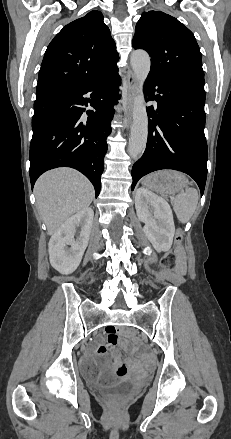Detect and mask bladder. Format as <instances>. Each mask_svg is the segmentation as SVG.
<instances>
[{
    "instance_id": "obj_1",
    "label": "bladder",
    "mask_w": 231,
    "mask_h": 439,
    "mask_svg": "<svg viewBox=\"0 0 231 439\" xmlns=\"http://www.w3.org/2000/svg\"><path fill=\"white\" fill-rule=\"evenodd\" d=\"M97 366L94 365L90 360L87 358H82L80 361V371L81 374L85 377L93 376L96 373ZM135 386L134 382L131 381H125L119 383L114 388H97V391L102 396H108L111 392H117L119 394H126L132 390V388Z\"/></svg>"
}]
</instances>
